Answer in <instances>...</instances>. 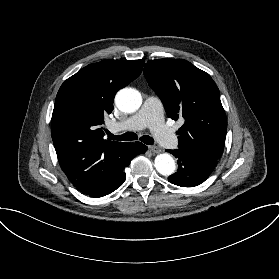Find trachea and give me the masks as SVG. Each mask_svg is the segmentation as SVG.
Listing matches in <instances>:
<instances>
[{
	"instance_id": "3493384b",
	"label": "trachea",
	"mask_w": 279,
	"mask_h": 279,
	"mask_svg": "<svg viewBox=\"0 0 279 279\" xmlns=\"http://www.w3.org/2000/svg\"><path fill=\"white\" fill-rule=\"evenodd\" d=\"M108 137L111 140H120V141L137 140L138 139L137 134L134 133V132H127V133H124V134L119 135V136L113 135V134L108 132ZM140 140L147 145H151L154 142V139L152 137L148 136V135L141 136Z\"/></svg>"
}]
</instances>
